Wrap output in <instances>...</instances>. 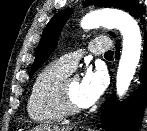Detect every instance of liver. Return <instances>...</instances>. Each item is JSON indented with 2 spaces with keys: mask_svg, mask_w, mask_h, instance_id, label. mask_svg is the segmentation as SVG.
I'll return each mask as SVG.
<instances>
[{
  "mask_svg": "<svg viewBox=\"0 0 147 131\" xmlns=\"http://www.w3.org/2000/svg\"><path fill=\"white\" fill-rule=\"evenodd\" d=\"M72 128L71 127H59L57 125H38L36 127L33 128L32 131H71Z\"/></svg>",
  "mask_w": 147,
  "mask_h": 131,
  "instance_id": "1",
  "label": "liver"
}]
</instances>
